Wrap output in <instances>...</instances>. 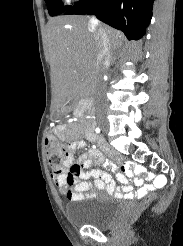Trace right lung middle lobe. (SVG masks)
I'll return each instance as SVG.
<instances>
[{
  "mask_svg": "<svg viewBox=\"0 0 183 246\" xmlns=\"http://www.w3.org/2000/svg\"><path fill=\"white\" fill-rule=\"evenodd\" d=\"M48 4V11L51 16H55L67 11L71 6H64L62 0H45Z\"/></svg>",
  "mask_w": 183,
  "mask_h": 246,
  "instance_id": "obj_1",
  "label": "right lung middle lobe"
}]
</instances>
